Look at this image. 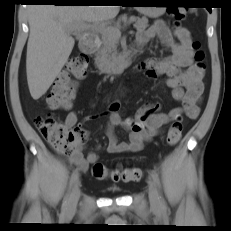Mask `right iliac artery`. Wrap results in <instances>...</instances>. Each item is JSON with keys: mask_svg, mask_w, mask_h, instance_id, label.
<instances>
[{"mask_svg": "<svg viewBox=\"0 0 231 231\" xmlns=\"http://www.w3.org/2000/svg\"><path fill=\"white\" fill-rule=\"evenodd\" d=\"M78 176H79V173L77 170H75L71 175L68 191L64 197L63 204H62L63 210L67 209V205H68L69 198H70V191H71V188L73 187V185L75 184V182L77 181Z\"/></svg>", "mask_w": 231, "mask_h": 231, "instance_id": "1", "label": "right iliac artery"}]
</instances>
